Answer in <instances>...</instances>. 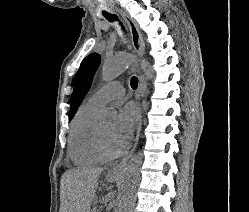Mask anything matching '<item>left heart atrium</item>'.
Masks as SVG:
<instances>
[{
	"label": "left heart atrium",
	"instance_id": "39dd6f15",
	"mask_svg": "<svg viewBox=\"0 0 249 212\" xmlns=\"http://www.w3.org/2000/svg\"><path fill=\"white\" fill-rule=\"evenodd\" d=\"M137 118V109L132 104L125 105L119 111L110 137L111 145L116 152H121L128 146Z\"/></svg>",
	"mask_w": 249,
	"mask_h": 212
}]
</instances>
